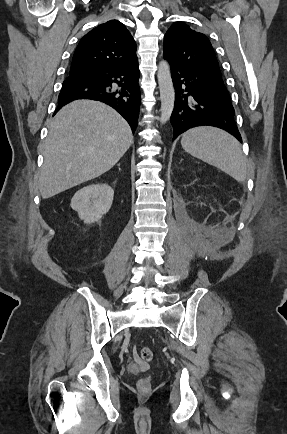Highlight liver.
Segmentation results:
<instances>
[{"instance_id":"obj_1","label":"liver","mask_w":287,"mask_h":434,"mask_svg":"<svg viewBox=\"0 0 287 434\" xmlns=\"http://www.w3.org/2000/svg\"><path fill=\"white\" fill-rule=\"evenodd\" d=\"M133 143L125 119L108 105L77 100L49 124L39 176L43 199L51 198L109 171Z\"/></svg>"}]
</instances>
